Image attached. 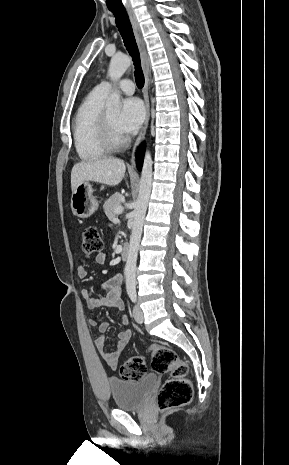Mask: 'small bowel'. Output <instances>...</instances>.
I'll list each match as a JSON object with an SVG mask.
<instances>
[{"instance_id":"obj_1","label":"small bowel","mask_w":289,"mask_h":465,"mask_svg":"<svg viewBox=\"0 0 289 465\" xmlns=\"http://www.w3.org/2000/svg\"><path fill=\"white\" fill-rule=\"evenodd\" d=\"M91 255L86 254L81 257L79 260V265L77 268V275L80 279H85L87 276V263L90 261ZM94 261L96 264L102 265L106 261V254L99 253L95 256ZM100 294L93 295L89 290L83 291V297L87 303V306L90 309H97L102 306H113L117 307L120 310L124 309V305L120 300L121 293V276L115 275L114 277L106 280L101 283L99 286ZM89 323L92 326L98 328L100 335L95 339V345L97 350L100 352L104 361L112 368L116 369L118 364V359L128 344L132 332L131 330H123L117 335V342L115 347L110 351H105V336L104 333L108 328L107 321H99L96 317H91ZM122 323L126 325L128 323V317L126 315L122 316Z\"/></svg>"}]
</instances>
